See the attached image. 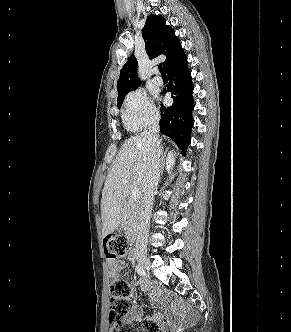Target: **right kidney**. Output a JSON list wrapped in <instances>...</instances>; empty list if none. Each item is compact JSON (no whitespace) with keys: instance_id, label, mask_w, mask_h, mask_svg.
<instances>
[{"instance_id":"right-kidney-1","label":"right kidney","mask_w":291,"mask_h":332,"mask_svg":"<svg viewBox=\"0 0 291 332\" xmlns=\"http://www.w3.org/2000/svg\"><path fill=\"white\" fill-rule=\"evenodd\" d=\"M174 163V158L172 157V152L168 153V157H167V170H170V167L173 165Z\"/></svg>"}]
</instances>
